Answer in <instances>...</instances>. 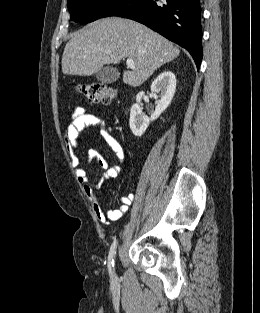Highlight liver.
I'll list each match as a JSON object with an SVG mask.
<instances>
[{
	"mask_svg": "<svg viewBox=\"0 0 260 313\" xmlns=\"http://www.w3.org/2000/svg\"><path fill=\"white\" fill-rule=\"evenodd\" d=\"M178 47L150 28L130 19H99L74 33L62 56L65 75L96 74L104 65L133 59L134 68L123 72V82L142 85L156 69L175 59Z\"/></svg>",
	"mask_w": 260,
	"mask_h": 313,
	"instance_id": "6515ba94",
	"label": "liver"
}]
</instances>
